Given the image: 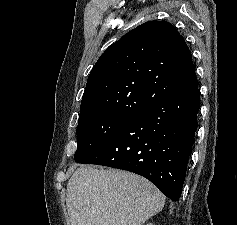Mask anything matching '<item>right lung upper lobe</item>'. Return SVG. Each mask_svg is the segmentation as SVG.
I'll return each instance as SVG.
<instances>
[{"mask_svg": "<svg viewBox=\"0 0 237 225\" xmlns=\"http://www.w3.org/2000/svg\"><path fill=\"white\" fill-rule=\"evenodd\" d=\"M198 85L191 52L175 27L149 21L108 47L92 68L79 119L135 115Z\"/></svg>", "mask_w": 237, "mask_h": 225, "instance_id": "1", "label": "right lung upper lobe"}]
</instances>
